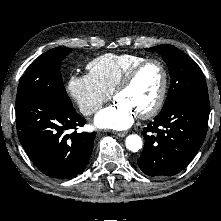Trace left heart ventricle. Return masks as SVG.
<instances>
[{
	"mask_svg": "<svg viewBox=\"0 0 221 221\" xmlns=\"http://www.w3.org/2000/svg\"><path fill=\"white\" fill-rule=\"evenodd\" d=\"M162 84V71L156 64L141 70L134 82L116 96V101L128 104L136 114L148 110L156 101Z\"/></svg>",
	"mask_w": 221,
	"mask_h": 221,
	"instance_id": "obj_1",
	"label": "left heart ventricle"
}]
</instances>
